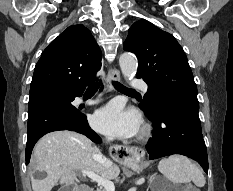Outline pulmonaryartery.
Wrapping results in <instances>:
<instances>
[{
  "label": "pulmonary artery",
  "mask_w": 233,
  "mask_h": 191,
  "mask_svg": "<svg viewBox=\"0 0 233 191\" xmlns=\"http://www.w3.org/2000/svg\"><path fill=\"white\" fill-rule=\"evenodd\" d=\"M131 86L135 87V88H139L144 92H147V90H148V85L144 81L139 80V79H133L131 81ZM98 102H99V99H89V100L80 99L79 100V103H84L86 105H93V104H96Z\"/></svg>",
  "instance_id": "pulmonary-artery-1"
}]
</instances>
